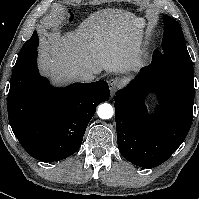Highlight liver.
I'll use <instances>...</instances> for the list:
<instances>
[{"mask_svg":"<svg viewBox=\"0 0 199 199\" xmlns=\"http://www.w3.org/2000/svg\"><path fill=\"white\" fill-rule=\"evenodd\" d=\"M143 19L121 9L91 14L74 31L42 41L40 68L55 83L79 81L82 71L130 74L141 63Z\"/></svg>","mask_w":199,"mask_h":199,"instance_id":"liver-1","label":"liver"}]
</instances>
